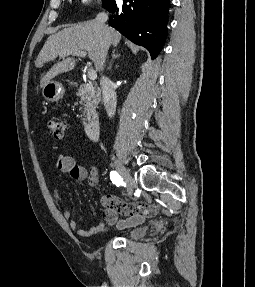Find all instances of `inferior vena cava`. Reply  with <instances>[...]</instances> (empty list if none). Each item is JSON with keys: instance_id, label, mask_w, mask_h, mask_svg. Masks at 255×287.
<instances>
[{"instance_id": "inferior-vena-cava-1", "label": "inferior vena cava", "mask_w": 255, "mask_h": 287, "mask_svg": "<svg viewBox=\"0 0 255 287\" xmlns=\"http://www.w3.org/2000/svg\"><path fill=\"white\" fill-rule=\"evenodd\" d=\"M108 16L107 14H104V12H101V14H98L95 18L96 24H100V26H105V22H107ZM106 52L109 50V42H106L105 44ZM102 66H104V62H102ZM103 70V68H101ZM100 86L102 90V98H103V104L105 106V110L109 116V118H112V116H115L116 112V106H117V96L115 92V84L109 80V78H105V76H102L100 80Z\"/></svg>"}]
</instances>
